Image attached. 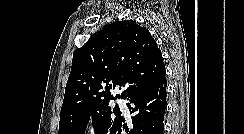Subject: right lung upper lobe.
<instances>
[{"instance_id":"right-lung-upper-lobe-1","label":"right lung upper lobe","mask_w":244,"mask_h":134,"mask_svg":"<svg viewBox=\"0 0 244 134\" xmlns=\"http://www.w3.org/2000/svg\"><path fill=\"white\" fill-rule=\"evenodd\" d=\"M166 75L162 54L147 28L133 20L104 27L73 54L60 120L79 115L97 104L121 98L158 82Z\"/></svg>"}]
</instances>
